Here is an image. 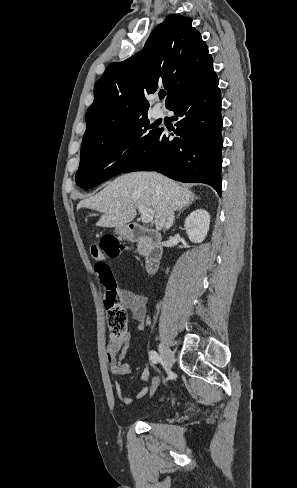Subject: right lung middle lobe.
<instances>
[{"label":"right lung middle lobe","instance_id":"dd1d6c3e","mask_svg":"<svg viewBox=\"0 0 297 488\" xmlns=\"http://www.w3.org/2000/svg\"><path fill=\"white\" fill-rule=\"evenodd\" d=\"M147 116L103 135L82 140L76 183L89 189L122 173L146 150L159 132Z\"/></svg>","mask_w":297,"mask_h":488}]
</instances>
